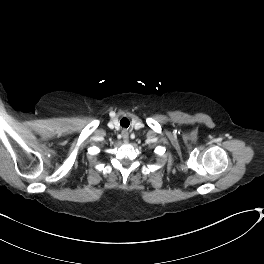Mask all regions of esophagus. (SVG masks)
<instances>
[{
	"label": "esophagus",
	"instance_id": "1",
	"mask_svg": "<svg viewBox=\"0 0 264 264\" xmlns=\"http://www.w3.org/2000/svg\"><path fill=\"white\" fill-rule=\"evenodd\" d=\"M122 138L125 143L129 142V133L126 129L122 130Z\"/></svg>",
	"mask_w": 264,
	"mask_h": 264
}]
</instances>
